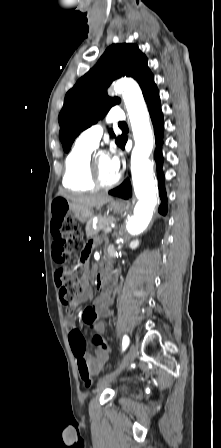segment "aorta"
<instances>
[{
    "mask_svg": "<svg viewBox=\"0 0 221 448\" xmlns=\"http://www.w3.org/2000/svg\"><path fill=\"white\" fill-rule=\"evenodd\" d=\"M114 91L122 93L135 140L131 154V174L138 202L126 230L129 234H136L148 226L157 203L153 165L149 160L153 149V132L138 84L131 79H120L115 83Z\"/></svg>",
    "mask_w": 221,
    "mask_h": 448,
    "instance_id": "762f6f07",
    "label": "aorta"
}]
</instances>
